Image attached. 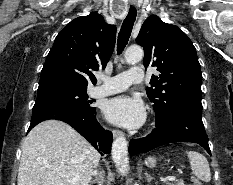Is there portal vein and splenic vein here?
Returning a JSON list of instances; mask_svg holds the SVG:
<instances>
[{
  "label": "portal vein and splenic vein",
  "instance_id": "18ae733b",
  "mask_svg": "<svg viewBox=\"0 0 233 185\" xmlns=\"http://www.w3.org/2000/svg\"><path fill=\"white\" fill-rule=\"evenodd\" d=\"M166 180L175 181V176H168L166 177Z\"/></svg>",
  "mask_w": 233,
  "mask_h": 185
}]
</instances>
